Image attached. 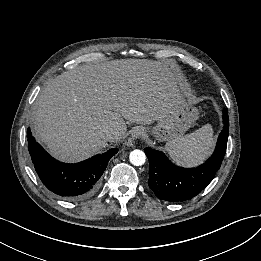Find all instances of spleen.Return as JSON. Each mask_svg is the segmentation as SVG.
<instances>
[{
	"instance_id": "spleen-1",
	"label": "spleen",
	"mask_w": 261,
	"mask_h": 261,
	"mask_svg": "<svg viewBox=\"0 0 261 261\" xmlns=\"http://www.w3.org/2000/svg\"><path fill=\"white\" fill-rule=\"evenodd\" d=\"M213 146V129L206 124L193 133L167 142L165 148L176 163L192 166L202 162Z\"/></svg>"
}]
</instances>
